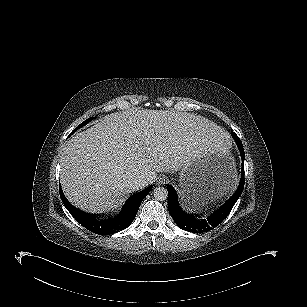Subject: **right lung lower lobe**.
Here are the masks:
<instances>
[{
    "mask_svg": "<svg viewBox=\"0 0 307 307\" xmlns=\"http://www.w3.org/2000/svg\"><path fill=\"white\" fill-rule=\"evenodd\" d=\"M151 189L152 185L130 196L121 212L116 217L107 220H100L97 215L83 212L72 206L65 198L61 186L59 187V192L63 204L77 222L96 234L110 235L126 229L132 223L142 200Z\"/></svg>",
    "mask_w": 307,
    "mask_h": 307,
    "instance_id": "98d812e1",
    "label": "right lung lower lobe"
}]
</instances>
